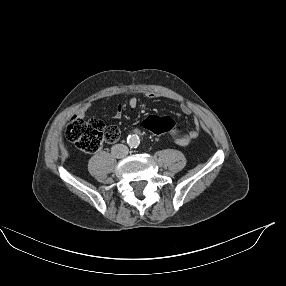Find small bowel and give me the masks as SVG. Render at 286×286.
Listing matches in <instances>:
<instances>
[{
    "label": "small bowel",
    "instance_id": "c3829d8e",
    "mask_svg": "<svg viewBox=\"0 0 286 286\" xmlns=\"http://www.w3.org/2000/svg\"><path fill=\"white\" fill-rule=\"evenodd\" d=\"M146 97L149 99H155L158 97V94L155 92H147ZM139 104L138 98L135 96H132L128 100V106L130 108H136ZM124 106L122 104H119L116 108L115 112V118L119 119L122 116ZM183 112L186 114H189L191 112L190 108L188 106L183 107ZM84 114V110L80 112V115ZM144 126V125H143ZM199 126L200 122L196 121V128L189 131L188 133L181 132L178 128H174L171 132V136L173 139V142L181 147H187L189 146L193 140H195L199 136Z\"/></svg>",
    "mask_w": 286,
    "mask_h": 286
}]
</instances>
